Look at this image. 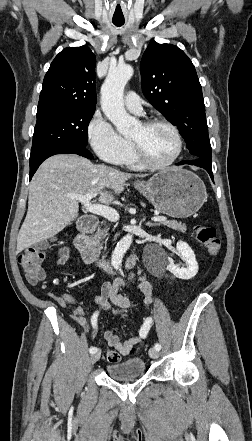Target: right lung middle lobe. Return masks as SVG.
<instances>
[{
    "label": "right lung middle lobe",
    "instance_id": "obj_1",
    "mask_svg": "<svg viewBox=\"0 0 252 441\" xmlns=\"http://www.w3.org/2000/svg\"><path fill=\"white\" fill-rule=\"evenodd\" d=\"M94 112L95 109L59 105L38 108L30 158L56 146H86Z\"/></svg>",
    "mask_w": 252,
    "mask_h": 441
}]
</instances>
